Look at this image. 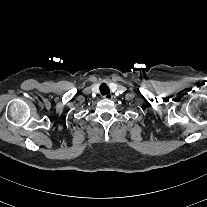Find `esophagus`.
<instances>
[{"label":"esophagus","instance_id":"esophagus-1","mask_svg":"<svg viewBox=\"0 0 207 207\" xmlns=\"http://www.w3.org/2000/svg\"><path fill=\"white\" fill-rule=\"evenodd\" d=\"M103 98L106 100H111L113 98V95L112 94H105V95H103Z\"/></svg>","mask_w":207,"mask_h":207}]
</instances>
